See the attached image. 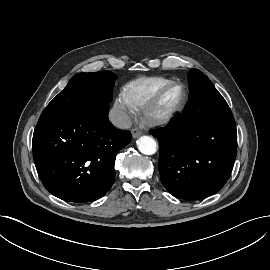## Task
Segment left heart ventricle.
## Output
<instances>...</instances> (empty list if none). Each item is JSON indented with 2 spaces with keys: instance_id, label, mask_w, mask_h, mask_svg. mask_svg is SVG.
Instances as JSON below:
<instances>
[{
  "instance_id": "1",
  "label": "left heart ventricle",
  "mask_w": 270,
  "mask_h": 270,
  "mask_svg": "<svg viewBox=\"0 0 270 270\" xmlns=\"http://www.w3.org/2000/svg\"><path fill=\"white\" fill-rule=\"evenodd\" d=\"M180 98V89L173 88L165 96L164 104L169 105L176 102Z\"/></svg>"
}]
</instances>
